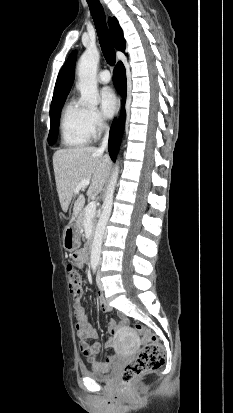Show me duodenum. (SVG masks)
<instances>
[{
	"label": "duodenum",
	"mask_w": 233,
	"mask_h": 413,
	"mask_svg": "<svg viewBox=\"0 0 233 413\" xmlns=\"http://www.w3.org/2000/svg\"><path fill=\"white\" fill-rule=\"evenodd\" d=\"M93 242H94V237H93V236H90V237L88 238L87 243H86V252H87V253H90V252H91L92 247H93Z\"/></svg>",
	"instance_id": "obj_1"
}]
</instances>
